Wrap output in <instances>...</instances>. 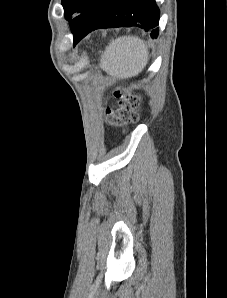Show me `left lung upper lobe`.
I'll return each instance as SVG.
<instances>
[{
  "instance_id": "obj_1",
  "label": "left lung upper lobe",
  "mask_w": 227,
  "mask_h": 298,
  "mask_svg": "<svg viewBox=\"0 0 227 298\" xmlns=\"http://www.w3.org/2000/svg\"><path fill=\"white\" fill-rule=\"evenodd\" d=\"M106 0H62L64 15L77 43L92 31Z\"/></svg>"
}]
</instances>
